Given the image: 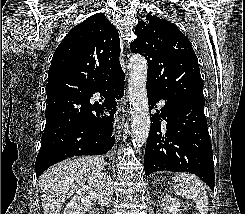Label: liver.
I'll use <instances>...</instances> for the list:
<instances>
[{
  "instance_id": "6515ba94",
  "label": "liver",
  "mask_w": 245,
  "mask_h": 214,
  "mask_svg": "<svg viewBox=\"0 0 245 214\" xmlns=\"http://www.w3.org/2000/svg\"><path fill=\"white\" fill-rule=\"evenodd\" d=\"M105 164L103 157L86 156L46 170L38 182L44 214H60L63 203L93 174L103 171Z\"/></svg>"
}]
</instances>
